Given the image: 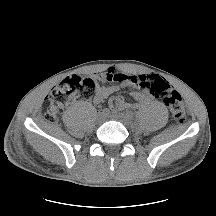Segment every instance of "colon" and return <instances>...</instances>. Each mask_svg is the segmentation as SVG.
Instances as JSON below:
<instances>
[{"mask_svg": "<svg viewBox=\"0 0 216 216\" xmlns=\"http://www.w3.org/2000/svg\"><path fill=\"white\" fill-rule=\"evenodd\" d=\"M146 86L154 96L163 100L179 124L185 122V103L178 91L164 80L151 81ZM98 90L97 82L91 78L79 75L66 77L48 95V109L45 114L47 120L55 121L66 107L79 99L88 100L95 97Z\"/></svg>", "mask_w": 216, "mask_h": 216, "instance_id": "obj_1", "label": "colon"}]
</instances>
